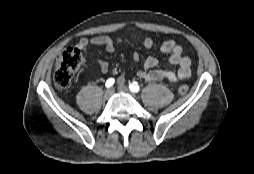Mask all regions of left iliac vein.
I'll return each mask as SVG.
<instances>
[{
    "label": "left iliac vein",
    "instance_id": "4c4485c4",
    "mask_svg": "<svg viewBox=\"0 0 254 174\" xmlns=\"http://www.w3.org/2000/svg\"><path fill=\"white\" fill-rule=\"evenodd\" d=\"M118 90L121 91V92H125V93H128L130 94L131 96L135 97V95L133 93L130 92L129 88L125 85H119L118 86Z\"/></svg>",
    "mask_w": 254,
    "mask_h": 174
}]
</instances>
